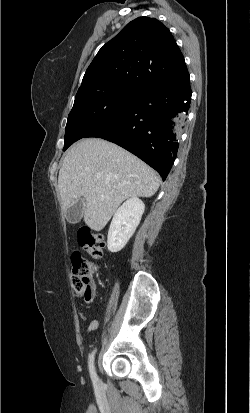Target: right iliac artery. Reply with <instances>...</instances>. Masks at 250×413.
Instances as JSON below:
<instances>
[{"mask_svg": "<svg viewBox=\"0 0 250 413\" xmlns=\"http://www.w3.org/2000/svg\"><path fill=\"white\" fill-rule=\"evenodd\" d=\"M96 350H94L91 355L89 356V372H90V376L91 379L93 381V383H97L98 382V377L97 374L95 372V368H94V355H95Z\"/></svg>", "mask_w": 250, "mask_h": 413, "instance_id": "right-iliac-artery-1", "label": "right iliac artery"}]
</instances>
